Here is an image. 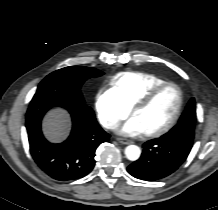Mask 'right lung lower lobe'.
<instances>
[{
    "label": "right lung lower lobe",
    "mask_w": 218,
    "mask_h": 210,
    "mask_svg": "<svg viewBox=\"0 0 218 210\" xmlns=\"http://www.w3.org/2000/svg\"><path fill=\"white\" fill-rule=\"evenodd\" d=\"M60 106L69 111L73 127L68 139L60 144L48 142L41 131V121L52 107ZM26 128L31 155L47 175L60 181L82 178L95 165L97 147L109 140L97 123L93 110L78 101L38 97L30 102L26 114Z\"/></svg>",
    "instance_id": "right-lung-lower-lobe-1"
}]
</instances>
